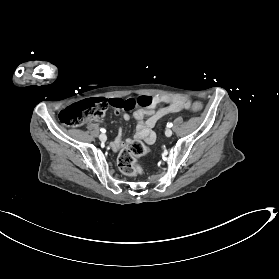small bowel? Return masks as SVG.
I'll return each mask as SVG.
<instances>
[{"label":"small bowel","mask_w":279,"mask_h":279,"mask_svg":"<svg viewBox=\"0 0 279 279\" xmlns=\"http://www.w3.org/2000/svg\"><path fill=\"white\" fill-rule=\"evenodd\" d=\"M155 105L165 103L166 106L154 109V107L144 108L141 107L134 111L133 116L137 120L135 138L144 140L148 144H153L156 139V135L153 131L156 123L166 115L176 113L182 110H187L190 106V101L184 97H170L164 95H158L154 97ZM145 117H148L146 120ZM124 120L130 119L129 113L123 114ZM123 132L120 128L116 139L111 143V147L115 151L123 149L130 140H123Z\"/></svg>","instance_id":"small-bowel-1"}]
</instances>
